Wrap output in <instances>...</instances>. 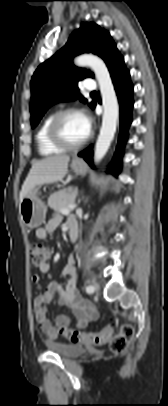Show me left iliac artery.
Masks as SVG:
<instances>
[{
  "instance_id": "left-iliac-artery-1",
  "label": "left iliac artery",
  "mask_w": 168,
  "mask_h": 406,
  "mask_svg": "<svg viewBox=\"0 0 168 406\" xmlns=\"http://www.w3.org/2000/svg\"><path fill=\"white\" fill-rule=\"evenodd\" d=\"M94 291H95V289H94L93 286L89 285V286L86 287V292H87V293L91 294V293H93Z\"/></svg>"
}]
</instances>
